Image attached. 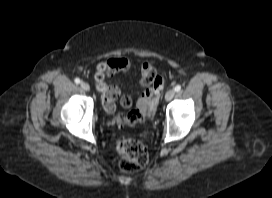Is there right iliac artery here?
Listing matches in <instances>:
<instances>
[{"label":"right iliac artery","mask_w":272,"mask_h":198,"mask_svg":"<svg viewBox=\"0 0 272 198\" xmlns=\"http://www.w3.org/2000/svg\"><path fill=\"white\" fill-rule=\"evenodd\" d=\"M74 81H75L76 84L80 83V79L79 78H76Z\"/></svg>","instance_id":"right-iliac-artery-1"}]
</instances>
